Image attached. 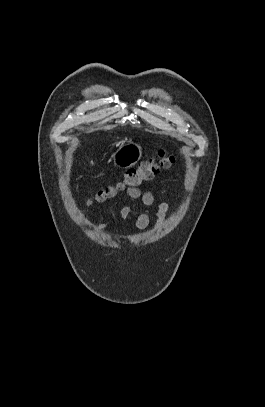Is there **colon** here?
I'll list each match as a JSON object with an SVG mask.
<instances>
[{
  "label": "colon",
  "instance_id": "colon-1",
  "mask_svg": "<svg viewBox=\"0 0 265 407\" xmlns=\"http://www.w3.org/2000/svg\"><path fill=\"white\" fill-rule=\"evenodd\" d=\"M175 162V157L161 151L157 157L142 161L138 167L128 169L121 181L115 185H106L99 188L93 195L92 201L102 202L114 197L119 191L127 188H137L144 182L149 181L165 168H169Z\"/></svg>",
  "mask_w": 265,
  "mask_h": 407
}]
</instances>
